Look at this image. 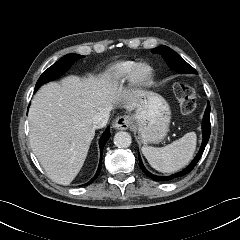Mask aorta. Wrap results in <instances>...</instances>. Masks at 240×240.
<instances>
[{
  "label": "aorta",
  "mask_w": 240,
  "mask_h": 240,
  "mask_svg": "<svg viewBox=\"0 0 240 240\" xmlns=\"http://www.w3.org/2000/svg\"><path fill=\"white\" fill-rule=\"evenodd\" d=\"M132 143V138L128 132L120 131L114 136V144L118 148H128Z\"/></svg>",
  "instance_id": "obj_1"
}]
</instances>
